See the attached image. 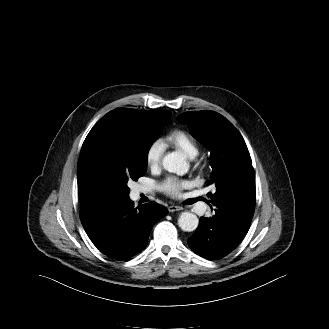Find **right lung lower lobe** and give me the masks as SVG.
<instances>
[{
	"label": "right lung lower lobe",
	"instance_id": "1",
	"mask_svg": "<svg viewBox=\"0 0 329 329\" xmlns=\"http://www.w3.org/2000/svg\"><path fill=\"white\" fill-rule=\"evenodd\" d=\"M156 202L134 208L129 199L103 198L82 207L80 219L93 242L113 259H128L147 244L153 225L167 214Z\"/></svg>",
	"mask_w": 329,
	"mask_h": 329
}]
</instances>
